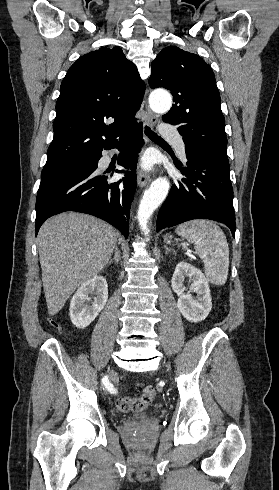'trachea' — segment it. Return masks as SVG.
<instances>
[{"label":"trachea","instance_id":"obj_1","mask_svg":"<svg viewBox=\"0 0 279 490\" xmlns=\"http://www.w3.org/2000/svg\"><path fill=\"white\" fill-rule=\"evenodd\" d=\"M145 134L150 138V140H153L156 143H167L163 138L159 137L157 133L152 132V130L149 127H145Z\"/></svg>","mask_w":279,"mask_h":490}]
</instances>
